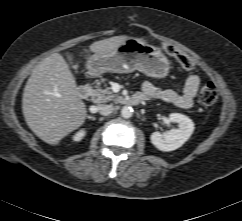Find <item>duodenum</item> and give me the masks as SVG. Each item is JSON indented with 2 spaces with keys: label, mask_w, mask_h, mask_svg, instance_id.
Returning a JSON list of instances; mask_svg holds the SVG:
<instances>
[{
  "label": "duodenum",
  "mask_w": 242,
  "mask_h": 221,
  "mask_svg": "<svg viewBox=\"0 0 242 221\" xmlns=\"http://www.w3.org/2000/svg\"><path fill=\"white\" fill-rule=\"evenodd\" d=\"M77 93L80 99H87L90 95V89L87 86H80ZM142 100L140 96H127L122 98V103L128 106H136L140 104Z\"/></svg>",
  "instance_id": "1"
}]
</instances>
